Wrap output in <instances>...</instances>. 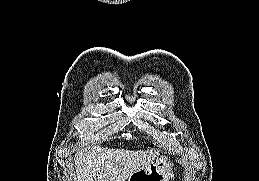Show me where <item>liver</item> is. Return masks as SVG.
<instances>
[{
  "label": "liver",
  "mask_w": 259,
  "mask_h": 181,
  "mask_svg": "<svg viewBox=\"0 0 259 181\" xmlns=\"http://www.w3.org/2000/svg\"><path fill=\"white\" fill-rule=\"evenodd\" d=\"M157 157L155 150L131 151L100 146L82 148L74 156L76 171L73 181H125Z\"/></svg>",
  "instance_id": "obj_1"
}]
</instances>
